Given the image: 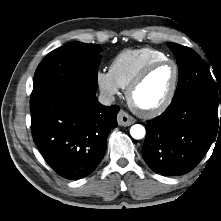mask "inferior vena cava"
Wrapping results in <instances>:
<instances>
[{"instance_id": "inferior-vena-cava-1", "label": "inferior vena cava", "mask_w": 221, "mask_h": 221, "mask_svg": "<svg viewBox=\"0 0 221 221\" xmlns=\"http://www.w3.org/2000/svg\"><path fill=\"white\" fill-rule=\"evenodd\" d=\"M98 101L105 106L111 105L115 101V97L111 92L103 91L98 97Z\"/></svg>"}]
</instances>
